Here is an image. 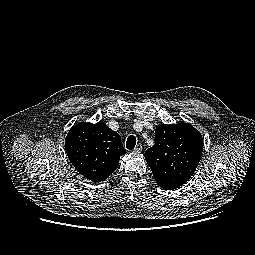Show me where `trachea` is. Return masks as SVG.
<instances>
[{"instance_id": "trachea-1", "label": "trachea", "mask_w": 255, "mask_h": 255, "mask_svg": "<svg viewBox=\"0 0 255 255\" xmlns=\"http://www.w3.org/2000/svg\"><path fill=\"white\" fill-rule=\"evenodd\" d=\"M135 145H136V137L133 135L129 136L126 141V148L128 150H133L135 148Z\"/></svg>"}]
</instances>
